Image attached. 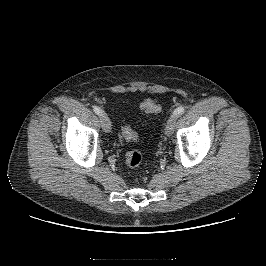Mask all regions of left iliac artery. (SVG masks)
Instances as JSON below:
<instances>
[{"instance_id":"obj_1","label":"left iliac artery","mask_w":266,"mask_h":266,"mask_svg":"<svg viewBox=\"0 0 266 266\" xmlns=\"http://www.w3.org/2000/svg\"><path fill=\"white\" fill-rule=\"evenodd\" d=\"M185 112V107L180 106L177 109H175V111L173 112L171 117H178L179 115L183 114Z\"/></svg>"}]
</instances>
